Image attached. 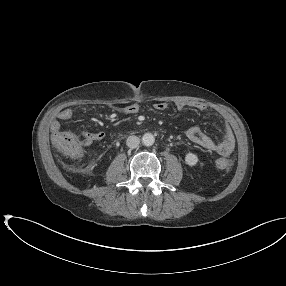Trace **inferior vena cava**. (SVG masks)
Here are the masks:
<instances>
[{
  "label": "inferior vena cava",
  "mask_w": 286,
  "mask_h": 286,
  "mask_svg": "<svg viewBox=\"0 0 286 286\" xmlns=\"http://www.w3.org/2000/svg\"><path fill=\"white\" fill-rule=\"evenodd\" d=\"M139 143H140L139 137L134 136V135L129 136L126 140V145L132 149L138 147Z\"/></svg>",
  "instance_id": "obj_1"
}]
</instances>
